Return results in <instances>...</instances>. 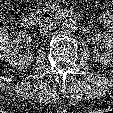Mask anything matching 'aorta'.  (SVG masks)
<instances>
[{
    "label": "aorta",
    "mask_w": 113,
    "mask_h": 113,
    "mask_svg": "<svg viewBox=\"0 0 113 113\" xmlns=\"http://www.w3.org/2000/svg\"><path fill=\"white\" fill-rule=\"evenodd\" d=\"M78 29L76 20L70 18L66 19L62 24V30L64 33L70 34L74 33Z\"/></svg>",
    "instance_id": "obj_1"
}]
</instances>
